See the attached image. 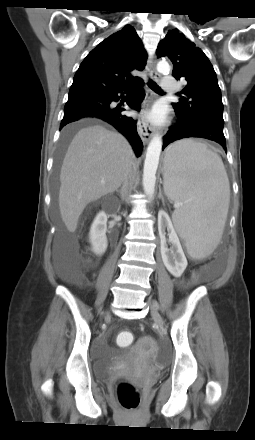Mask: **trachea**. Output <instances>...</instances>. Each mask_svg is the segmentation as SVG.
Here are the masks:
<instances>
[{
  "label": "trachea",
  "mask_w": 255,
  "mask_h": 440,
  "mask_svg": "<svg viewBox=\"0 0 255 440\" xmlns=\"http://www.w3.org/2000/svg\"><path fill=\"white\" fill-rule=\"evenodd\" d=\"M149 87L157 93H163L162 89L153 81H149ZM135 88L136 87H133L130 90H135Z\"/></svg>",
  "instance_id": "obj_1"
}]
</instances>
